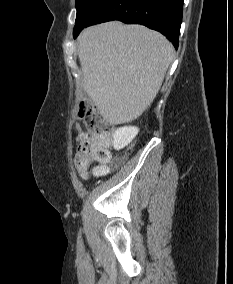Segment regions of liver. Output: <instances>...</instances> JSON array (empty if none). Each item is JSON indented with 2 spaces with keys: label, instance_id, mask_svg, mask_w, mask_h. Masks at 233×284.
Returning a JSON list of instances; mask_svg holds the SVG:
<instances>
[{
  "label": "liver",
  "instance_id": "6515ba94",
  "mask_svg": "<svg viewBox=\"0 0 233 284\" xmlns=\"http://www.w3.org/2000/svg\"><path fill=\"white\" fill-rule=\"evenodd\" d=\"M83 88L104 120L121 124L146 111L173 60L159 32L118 21L88 27L78 37Z\"/></svg>",
  "mask_w": 233,
  "mask_h": 284
}]
</instances>
